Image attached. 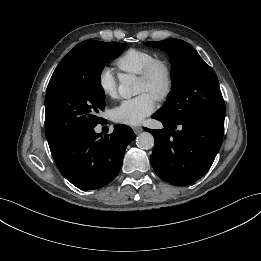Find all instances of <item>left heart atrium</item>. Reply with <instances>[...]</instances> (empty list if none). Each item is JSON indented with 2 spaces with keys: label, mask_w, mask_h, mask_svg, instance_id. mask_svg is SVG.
I'll list each match as a JSON object with an SVG mask.
<instances>
[{
  "label": "left heart atrium",
  "mask_w": 261,
  "mask_h": 261,
  "mask_svg": "<svg viewBox=\"0 0 261 261\" xmlns=\"http://www.w3.org/2000/svg\"><path fill=\"white\" fill-rule=\"evenodd\" d=\"M156 109L155 98L148 93L126 99L111 111V118L121 124L139 125Z\"/></svg>",
  "instance_id": "39dd6f15"
}]
</instances>
